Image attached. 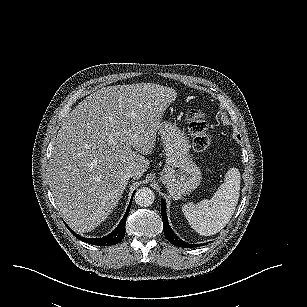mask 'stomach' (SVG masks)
<instances>
[{"instance_id": "0dacf381", "label": "stomach", "mask_w": 307, "mask_h": 307, "mask_svg": "<svg viewBox=\"0 0 307 307\" xmlns=\"http://www.w3.org/2000/svg\"><path fill=\"white\" fill-rule=\"evenodd\" d=\"M157 133L161 137L166 156L160 181L174 199L182 198L201 184L200 167L190 155L187 135L175 123L161 122Z\"/></svg>"}]
</instances>
